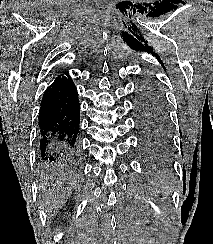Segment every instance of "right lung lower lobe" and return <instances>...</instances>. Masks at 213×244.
<instances>
[{
    "label": "right lung lower lobe",
    "instance_id": "obj_1",
    "mask_svg": "<svg viewBox=\"0 0 213 244\" xmlns=\"http://www.w3.org/2000/svg\"><path fill=\"white\" fill-rule=\"evenodd\" d=\"M38 119L43 160L69 163L79 156L80 106L68 74L56 77L45 90Z\"/></svg>",
    "mask_w": 213,
    "mask_h": 244
}]
</instances>
